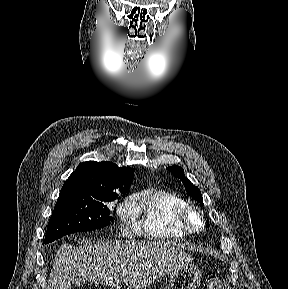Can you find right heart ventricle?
Returning a JSON list of instances; mask_svg holds the SVG:
<instances>
[{
    "label": "right heart ventricle",
    "instance_id": "obj_1",
    "mask_svg": "<svg viewBox=\"0 0 288 289\" xmlns=\"http://www.w3.org/2000/svg\"><path fill=\"white\" fill-rule=\"evenodd\" d=\"M188 202L167 189L143 190L133 198L134 215L139 218L138 232L151 239L178 241L190 232L183 225L181 210Z\"/></svg>",
    "mask_w": 288,
    "mask_h": 289
}]
</instances>
